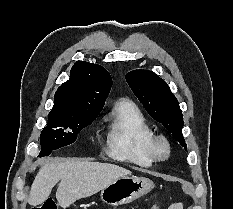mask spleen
<instances>
[{
    "instance_id": "obj_1",
    "label": "spleen",
    "mask_w": 233,
    "mask_h": 209,
    "mask_svg": "<svg viewBox=\"0 0 233 209\" xmlns=\"http://www.w3.org/2000/svg\"><path fill=\"white\" fill-rule=\"evenodd\" d=\"M169 209H183V205L181 203H176L171 205Z\"/></svg>"
}]
</instances>
